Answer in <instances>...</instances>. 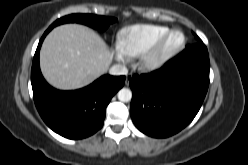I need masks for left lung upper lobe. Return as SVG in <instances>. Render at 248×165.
Returning a JSON list of instances; mask_svg holds the SVG:
<instances>
[{"mask_svg": "<svg viewBox=\"0 0 248 165\" xmlns=\"http://www.w3.org/2000/svg\"><path fill=\"white\" fill-rule=\"evenodd\" d=\"M195 38L197 39V44H202V41H201V39L197 36V35H195ZM189 46H191V45H188V46H186V47H189Z\"/></svg>", "mask_w": 248, "mask_h": 165, "instance_id": "obj_1", "label": "left lung upper lobe"}]
</instances>
